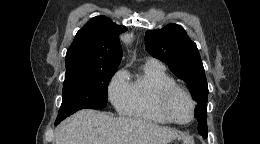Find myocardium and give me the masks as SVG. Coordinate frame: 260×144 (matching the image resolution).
<instances>
[{
    "label": "myocardium",
    "mask_w": 260,
    "mask_h": 144,
    "mask_svg": "<svg viewBox=\"0 0 260 144\" xmlns=\"http://www.w3.org/2000/svg\"><path fill=\"white\" fill-rule=\"evenodd\" d=\"M176 93H182L185 95L191 103V117L188 121L182 122L173 117L168 108V103L171 97ZM155 107L157 111L163 116L168 122L177 125H188L195 117L196 102L191 93L184 87L178 84L167 85L159 89L155 98Z\"/></svg>",
    "instance_id": "obj_1"
}]
</instances>
